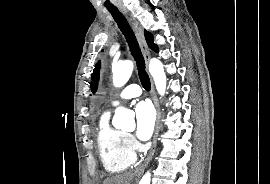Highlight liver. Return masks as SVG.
Instances as JSON below:
<instances>
[{"mask_svg":"<svg viewBox=\"0 0 270 184\" xmlns=\"http://www.w3.org/2000/svg\"><path fill=\"white\" fill-rule=\"evenodd\" d=\"M133 174L114 176L104 180L103 184H130Z\"/></svg>","mask_w":270,"mask_h":184,"instance_id":"1","label":"liver"}]
</instances>
